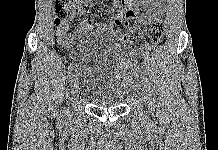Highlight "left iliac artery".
<instances>
[{
    "label": "left iliac artery",
    "instance_id": "obj_1",
    "mask_svg": "<svg viewBox=\"0 0 218 150\" xmlns=\"http://www.w3.org/2000/svg\"><path fill=\"white\" fill-rule=\"evenodd\" d=\"M137 76H143V71H137L136 73H135ZM143 80V79H142Z\"/></svg>",
    "mask_w": 218,
    "mask_h": 150
}]
</instances>
